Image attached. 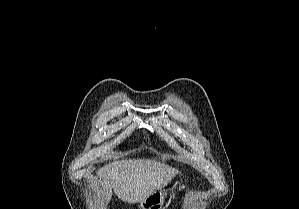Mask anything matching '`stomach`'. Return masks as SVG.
Returning <instances> with one entry per match:
<instances>
[{
    "instance_id": "1",
    "label": "stomach",
    "mask_w": 299,
    "mask_h": 209,
    "mask_svg": "<svg viewBox=\"0 0 299 209\" xmlns=\"http://www.w3.org/2000/svg\"><path fill=\"white\" fill-rule=\"evenodd\" d=\"M178 183H175L172 187L173 189L181 190L182 186ZM166 196L165 189L155 190L150 196L145 198L139 203L140 209H163V203Z\"/></svg>"
}]
</instances>
